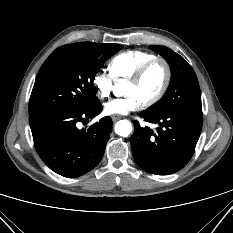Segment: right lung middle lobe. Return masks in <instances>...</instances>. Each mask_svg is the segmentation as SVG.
<instances>
[{"instance_id":"right-lung-middle-lobe-1","label":"right lung middle lobe","mask_w":233,"mask_h":233,"mask_svg":"<svg viewBox=\"0 0 233 233\" xmlns=\"http://www.w3.org/2000/svg\"><path fill=\"white\" fill-rule=\"evenodd\" d=\"M117 44L79 42L57 48L35 80L29 115L53 110H79L97 101L93 81L101 66L119 51Z\"/></svg>"}]
</instances>
